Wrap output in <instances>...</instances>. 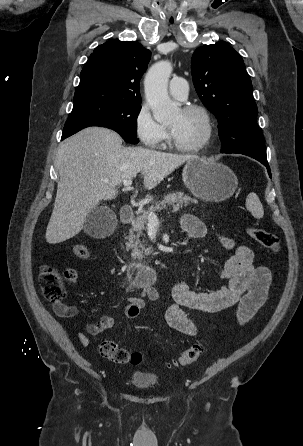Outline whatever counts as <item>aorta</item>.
<instances>
[{
    "label": "aorta",
    "mask_w": 303,
    "mask_h": 446,
    "mask_svg": "<svg viewBox=\"0 0 303 446\" xmlns=\"http://www.w3.org/2000/svg\"><path fill=\"white\" fill-rule=\"evenodd\" d=\"M172 70L170 62L160 61L154 64L145 76V97L155 120L158 122L167 121L178 112L177 104L169 98L167 91Z\"/></svg>",
    "instance_id": "obj_1"
}]
</instances>
